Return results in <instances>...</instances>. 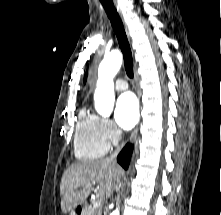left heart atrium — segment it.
<instances>
[{
  "label": "left heart atrium",
  "mask_w": 221,
  "mask_h": 215,
  "mask_svg": "<svg viewBox=\"0 0 221 215\" xmlns=\"http://www.w3.org/2000/svg\"><path fill=\"white\" fill-rule=\"evenodd\" d=\"M139 118V108L136 98L131 93L119 97L115 107V120L117 124L129 130L135 126Z\"/></svg>",
  "instance_id": "1"
}]
</instances>
